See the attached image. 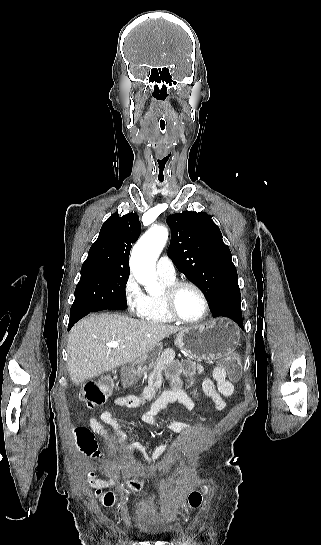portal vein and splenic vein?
<instances>
[{"label":"portal vein and splenic vein","mask_w":321,"mask_h":545,"mask_svg":"<svg viewBox=\"0 0 321 545\" xmlns=\"http://www.w3.org/2000/svg\"><path fill=\"white\" fill-rule=\"evenodd\" d=\"M106 347H108V349H117L119 343H117V341H111V343H106Z\"/></svg>","instance_id":"18ae733b"}]
</instances>
